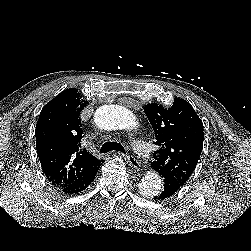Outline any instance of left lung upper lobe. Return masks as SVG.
Returning <instances> with one entry per match:
<instances>
[{
	"label": "left lung upper lobe",
	"mask_w": 251,
	"mask_h": 251,
	"mask_svg": "<svg viewBox=\"0 0 251 251\" xmlns=\"http://www.w3.org/2000/svg\"><path fill=\"white\" fill-rule=\"evenodd\" d=\"M144 112L156 136L153 168L163 176L173 177L181 186L185 185L193 171L203 148V123L193 107L181 98H174L172 107L147 104Z\"/></svg>",
	"instance_id": "obj_1"
}]
</instances>
